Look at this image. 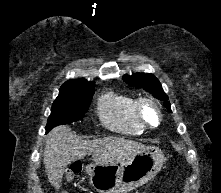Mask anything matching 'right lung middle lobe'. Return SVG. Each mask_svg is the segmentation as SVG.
I'll list each match as a JSON object with an SVG mask.
<instances>
[{
	"label": "right lung middle lobe",
	"instance_id": "1",
	"mask_svg": "<svg viewBox=\"0 0 221 193\" xmlns=\"http://www.w3.org/2000/svg\"><path fill=\"white\" fill-rule=\"evenodd\" d=\"M94 85L60 90L47 121L46 132L61 124L81 120L89 108Z\"/></svg>",
	"mask_w": 221,
	"mask_h": 193
}]
</instances>
